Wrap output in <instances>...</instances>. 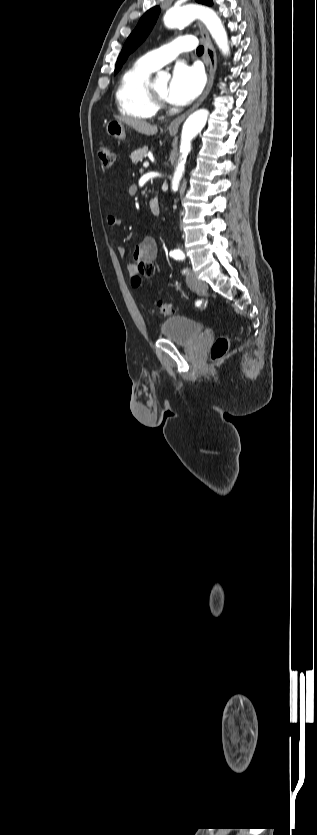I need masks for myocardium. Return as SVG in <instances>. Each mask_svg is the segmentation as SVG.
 Masks as SVG:
<instances>
[{
	"label": "myocardium",
	"instance_id": "1",
	"mask_svg": "<svg viewBox=\"0 0 317 835\" xmlns=\"http://www.w3.org/2000/svg\"><path fill=\"white\" fill-rule=\"evenodd\" d=\"M148 91H149V94H150L151 99L154 101V103H155L156 105L160 106V105H163V104L165 103L166 99H165V98H163V97H161V96H160V95H159V94H158V93L154 90V88H153V86H152V85H148Z\"/></svg>",
	"mask_w": 317,
	"mask_h": 835
}]
</instances>
